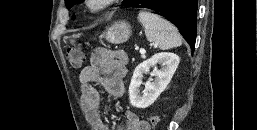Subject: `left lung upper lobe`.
Here are the masks:
<instances>
[{"label":"left lung upper lobe","instance_id":"left-lung-upper-lobe-1","mask_svg":"<svg viewBox=\"0 0 257 130\" xmlns=\"http://www.w3.org/2000/svg\"><path fill=\"white\" fill-rule=\"evenodd\" d=\"M138 1L139 0H125L123 5H135ZM79 2H81V0H65V5L68 9H70L73 5Z\"/></svg>","mask_w":257,"mask_h":130}]
</instances>
